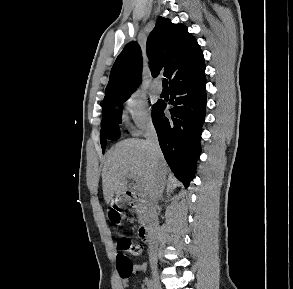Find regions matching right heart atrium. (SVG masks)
I'll return each instance as SVG.
<instances>
[{"mask_svg":"<svg viewBox=\"0 0 293 289\" xmlns=\"http://www.w3.org/2000/svg\"><path fill=\"white\" fill-rule=\"evenodd\" d=\"M129 117V127L134 134H141L152 127V115L149 104L140 93H132L124 103Z\"/></svg>","mask_w":293,"mask_h":289,"instance_id":"d8ad5b80","label":"right heart atrium"}]
</instances>
